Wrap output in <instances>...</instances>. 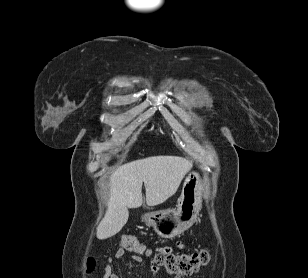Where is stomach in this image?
<instances>
[{
    "label": "stomach",
    "instance_id": "obj_1",
    "mask_svg": "<svg viewBox=\"0 0 308 278\" xmlns=\"http://www.w3.org/2000/svg\"><path fill=\"white\" fill-rule=\"evenodd\" d=\"M203 184L200 175L191 172L185 178L177 209L146 213L142 221L163 238H173L189 229L202 206Z\"/></svg>",
    "mask_w": 308,
    "mask_h": 278
}]
</instances>
